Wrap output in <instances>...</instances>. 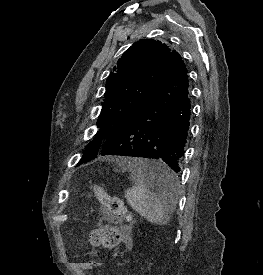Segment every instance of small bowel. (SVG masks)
Masks as SVG:
<instances>
[{"label":"small bowel","instance_id":"1","mask_svg":"<svg viewBox=\"0 0 263 275\" xmlns=\"http://www.w3.org/2000/svg\"><path fill=\"white\" fill-rule=\"evenodd\" d=\"M116 230L120 236V242L124 244L126 247H129L132 244L130 227L123 225L118 227Z\"/></svg>","mask_w":263,"mask_h":275}]
</instances>
